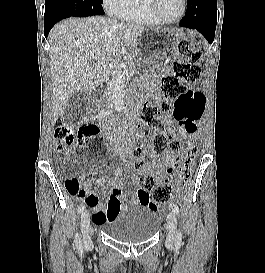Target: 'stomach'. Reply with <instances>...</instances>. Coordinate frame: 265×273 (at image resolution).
<instances>
[{"mask_svg": "<svg viewBox=\"0 0 265 273\" xmlns=\"http://www.w3.org/2000/svg\"><path fill=\"white\" fill-rule=\"evenodd\" d=\"M182 30H153L146 28L141 31L129 49L138 55L140 64H135V73L131 74L132 78H155V73H162V69H168L171 59L167 56H174V51H165L170 49L173 44L172 40H180ZM163 49V50H162Z\"/></svg>", "mask_w": 265, "mask_h": 273, "instance_id": "0dacf381", "label": "stomach"}]
</instances>
